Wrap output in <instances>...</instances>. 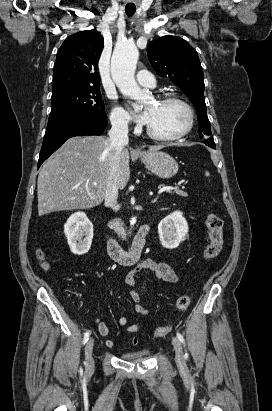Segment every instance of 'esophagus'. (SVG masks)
<instances>
[{
	"label": "esophagus",
	"mask_w": 272,
	"mask_h": 411,
	"mask_svg": "<svg viewBox=\"0 0 272 411\" xmlns=\"http://www.w3.org/2000/svg\"><path fill=\"white\" fill-rule=\"evenodd\" d=\"M135 153L139 154V153H140V151H139V150H136V151H135Z\"/></svg>",
	"instance_id": "obj_1"
}]
</instances>
